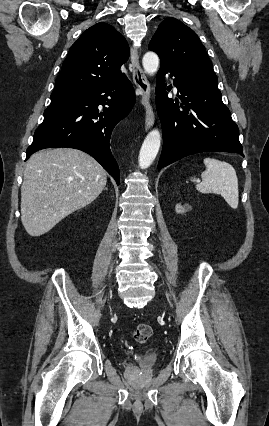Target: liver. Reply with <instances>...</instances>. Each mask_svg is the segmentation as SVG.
<instances>
[{
  "label": "liver",
  "mask_w": 269,
  "mask_h": 426,
  "mask_svg": "<svg viewBox=\"0 0 269 426\" xmlns=\"http://www.w3.org/2000/svg\"><path fill=\"white\" fill-rule=\"evenodd\" d=\"M107 173L90 155L71 148L47 149L30 157L21 187V221L30 236L50 231L69 214L93 202Z\"/></svg>",
  "instance_id": "liver-1"
}]
</instances>
